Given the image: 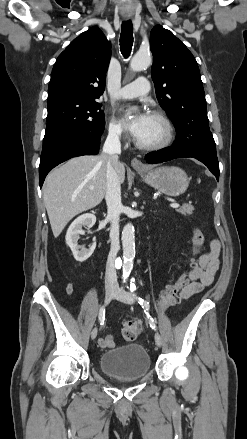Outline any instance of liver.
I'll return each instance as SVG.
<instances>
[{
    "instance_id": "1",
    "label": "liver",
    "mask_w": 247,
    "mask_h": 439,
    "mask_svg": "<svg viewBox=\"0 0 247 439\" xmlns=\"http://www.w3.org/2000/svg\"><path fill=\"white\" fill-rule=\"evenodd\" d=\"M108 158L104 153L75 157L47 176L43 188V201L55 238L73 217L94 208L103 200L106 194ZM117 173L120 183H123V163H119Z\"/></svg>"
}]
</instances>
